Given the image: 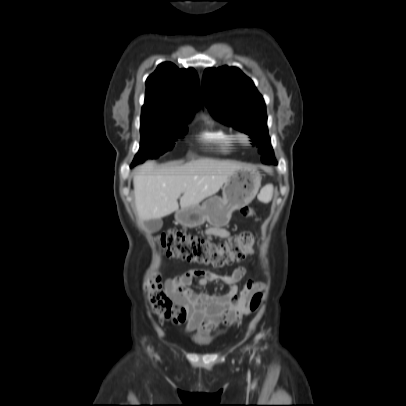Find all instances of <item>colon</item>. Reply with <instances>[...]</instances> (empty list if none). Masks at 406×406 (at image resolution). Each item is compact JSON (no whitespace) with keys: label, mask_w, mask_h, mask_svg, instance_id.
Segmentation results:
<instances>
[{"label":"colon","mask_w":406,"mask_h":406,"mask_svg":"<svg viewBox=\"0 0 406 406\" xmlns=\"http://www.w3.org/2000/svg\"><path fill=\"white\" fill-rule=\"evenodd\" d=\"M241 212L245 217H257L256 211L248 206L243 207ZM158 242L168 259L224 267L249 257L253 253L254 237L244 232L228 238L222 244H214L195 234L166 231L158 236ZM147 291L155 312L162 316L168 315L171 303L166 298L158 274L149 277ZM261 303L262 295L260 293L253 295L249 304L250 310L257 311Z\"/></svg>","instance_id":"1"}]
</instances>
